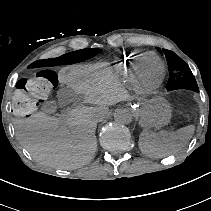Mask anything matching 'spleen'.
Here are the masks:
<instances>
[{"label": "spleen", "mask_w": 211, "mask_h": 211, "mask_svg": "<svg viewBox=\"0 0 211 211\" xmlns=\"http://www.w3.org/2000/svg\"><path fill=\"white\" fill-rule=\"evenodd\" d=\"M194 132L193 126L182 128L176 132H152L143 129L139 135L138 145L141 152L149 157H165L187 144Z\"/></svg>", "instance_id": "spleen-1"}]
</instances>
